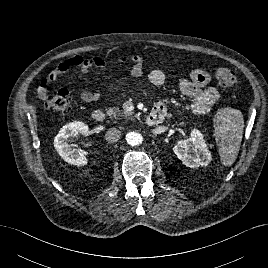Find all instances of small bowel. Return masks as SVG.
Listing matches in <instances>:
<instances>
[{"label": "small bowel", "instance_id": "c3829d8e", "mask_svg": "<svg viewBox=\"0 0 268 268\" xmlns=\"http://www.w3.org/2000/svg\"><path fill=\"white\" fill-rule=\"evenodd\" d=\"M132 63L131 76L133 78H141L144 76V61L138 55H133L128 59ZM107 67L106 61L101 57H83L73 56L60 61L55 69L49 74L47 78L40 81L37 92L42 98L47 92L48 83L55 80L58 76L67 73L76 68L81 74L87 75L91 72L103 70ZM149 82L154 86H162L166 82V75L160 69H153L147 75ZM209 74L201 69H195L190 73V79H181L179 87L183 95L191 99L190 109L195 114L208 113L219 99V93L216 88L209 85ZM43 89V93L41 92ZM101 96L99 90L84 91L81 98L85 102H93ZM154 110H161L166 113V106L164 103H158Z\"/></svg>", "mask_w": 268, "mask_h": 268}]
</instances>
